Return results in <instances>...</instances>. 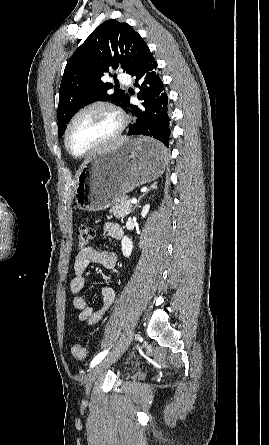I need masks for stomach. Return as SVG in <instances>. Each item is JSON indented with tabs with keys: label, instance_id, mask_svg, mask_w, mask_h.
Listing matches in <instances>:
<instances>
[{
	"label": "stomach",
	"instance_id": "obj_1",
	"mask_svg": "<svg viewBox=\"0 0 269 445\" xmlns=\"http://www.w3.org/2000/svg\"><path fill=\"white\" fill-rule=\"evenodd\" d=\"M148 138L127 139L91 157L76 178L75 202L80 210L107 209L136 187L157 179L167 165V155L150 154Z\"/></svg>",
	"mask_w": 269,
	"mask_h": 445
}]
</instances>
